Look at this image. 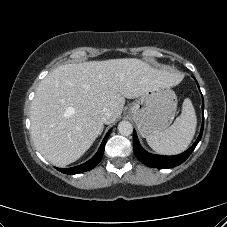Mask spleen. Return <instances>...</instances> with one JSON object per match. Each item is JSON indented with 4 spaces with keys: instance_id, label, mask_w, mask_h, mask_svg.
Wrapping results in <instances>:
<instances>
[{
    "instance_id": "obj_1",
    "label": "spleen",
    "mask_w": 227,
    "mask_h": 227,
    "mask_svg": "<svg viewBox=\"0 0 227 227\" xmlns=\"http://www.w3.org/2000/svg\"><path fill=\"white\" fill-rule=\"evenodd\" d=\"M197 118L189 98L182 105V112L166 130L146 137L148 145L157 153L175 155L183 152L194 137Z\"/></svg>"
}]
</instances>
